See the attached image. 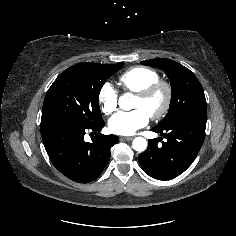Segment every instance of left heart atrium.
I'll use <instances>...</instances> for the list:
<instances>
[{"label":"left heart atrium","mask_w":236,"mask_h":236,"mask_svg":"<svg viewBox=\"0 0 236 236\" xmlns=\"http://www.w3.org/2000/svg\"><path fill=\"white\" fill-rule=\"evenodd\" d=\"M150 115L142 108L129 112H118L108 123L111 132L118 135H131L149 122Z\"/></svg>","instance_id":"obj_1"}]
</instances>
